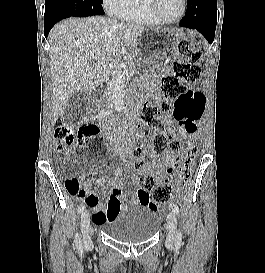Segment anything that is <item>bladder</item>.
Segmentation results:
<instances>
[{
	"mask_svg": "<svg viewBox=\"0 0 265 273\" xmlns=\"http://www.w3.org/2000/svg\"><path fill=\"white\" fill-rule=\"evenodd\" d=\"M160 225L159 213L143 203H138L122 209L103 227L105 233L115 241L135 244L152 239Z\"/></svg>",
	"mask_w": 265,
	"mask_h": 273,
	"instance_id": "1",
	"label": "bladder"
}]
</instances>
